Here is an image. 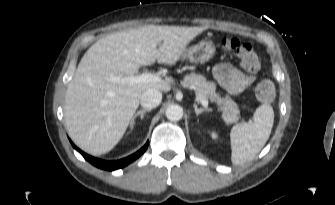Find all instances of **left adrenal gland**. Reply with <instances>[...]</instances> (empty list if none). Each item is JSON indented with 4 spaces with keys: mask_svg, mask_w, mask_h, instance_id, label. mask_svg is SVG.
Returning <instances> with one entry per match:
<instances>
[{
    "mask_svg": "<svg viewBox=\"0 0 335 205\" xmlns=\"http://www.w3.org/2000/svg\"><path fill=\"white\" fill-rule=\"evenodd\" d=\"M194 110L197 116L205 111H211V109L208 107L198 108L196 104L194 105Z\"/></svg>",
    "mask_w": 335,
    "mask_h": 205,
    "instance_id": "obj_1",
    "label": "left adrenal gland"
}]
</instances>
